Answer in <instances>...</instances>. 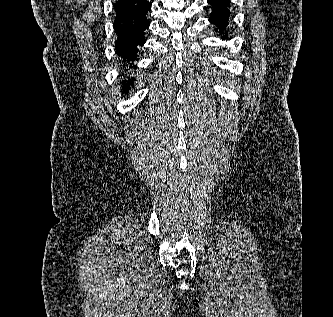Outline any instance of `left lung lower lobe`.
<instances>
[{
	"instance_id": "0a47b994",
	"label": "left lung lower lobe",
	"mask_w": 333,
	"mask_h": 317,
	"mask_svg": "<svg viewBox=\"0 0 333 317\" xmlns=\"http://www.w3.org/2000/svg\"><path fill=\"white\" fill-rule=\"evenodd\" d=\"M212 7L209 22L216 25L223 34L222 39L227 37V26L230 21V0H208Z\"/></svg>"
}]
</instances>
